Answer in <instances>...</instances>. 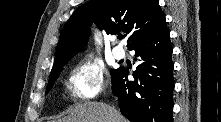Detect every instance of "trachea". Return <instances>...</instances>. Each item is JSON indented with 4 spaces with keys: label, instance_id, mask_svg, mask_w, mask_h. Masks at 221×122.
Listing matches in <instances>:
<instances>
[{
    "label": "trachea",
    "instance_id": "1",
    "mask_svg": "<svg viewBox=\"0 0 221 122\" xmlns=\"http://www.w3.org/2000/svg\"><path fill=\"white\" fill-rule=\"evenodd\" d=\"M118 38H119V39H122L123 37H122V36H119Z\"/></svg>",
    "mask_w": 221,
    "mask_h": 122
}]
</instances>
